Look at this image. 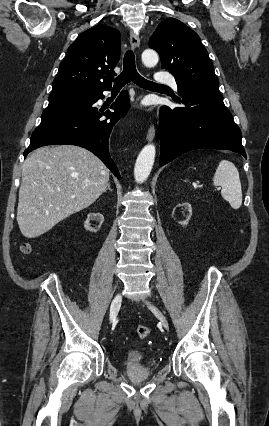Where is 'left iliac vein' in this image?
Instances as JSON below:
<instances>
[{
	"label": "left iliac vein",
	"mask_w": 269,
	"mask_h": 426,
	"mask_svg": "<svg viewBox=\"0 0 269 426\" xmlns=\"http://www.w3.org/2000/svg\"><path fill=\"white\" fill-rule=\"evenodd\" d=\"M146 304L151 310H153L155 312L156 316L158 317V319L162 323L164 329L166 331H169V324H168L166 317L163 315V313L159 309H157L154 305H152L149 301H146Z\"/></svg>",
	"instance_id": "4c4485c4"
}]
</instances>
